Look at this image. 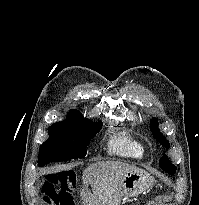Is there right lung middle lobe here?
<instances>
[{"label":"right lung middle lobe","instance_id":"right-lung-middle-lobe-1","mask_svg":"<svg viewBox=\"0 0 199 205\" xmlns=\"http://www.w3.org/2000/svg\"><path fill=\"white\" fill-rule=\"evenodd\" d=\"M101 126V122H92L79 111L70 110L65 120L48 128L49 138L39 149V166L85 157L90 140Z\"/></svg>","mask_w":199,"mask_h":205}]
</instances>
